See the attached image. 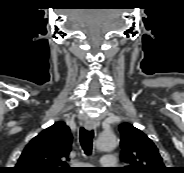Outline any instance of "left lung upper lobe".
I'll return each mask as SVG.
<instances>
[{"label": "left lung upper lobe", "mask_w": 184, "mask_h": 173, "mask_svg": "<svg viewBox=\"0 0 184 173\" xmlns=\"http://www.w3.org/2000/svg\"><path fill=\"white\" fill-rule=\"evenodd\" d=\"M121 133V159L128 164L121 173H166L155 144L141 130L129 123L119 126Z\"/></svg>", "instance_id": "left-lung-upper-lobe-1"}]
</instances>
